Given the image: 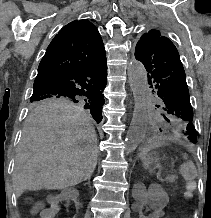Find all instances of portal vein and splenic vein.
Wrapping results in <instances>:
<instances>
[{
	"label": "portal vein and splenic vein",
	"mask_w": 211,
	"mask_h": 218,
	"mask_svg": "<svg viewBox=\"0 0 211 218\" xmlns=\"http://www.w3.org/2000/svg\"><path fill=\"white\" fill-rule=\"evenodd\" d=\"M174 173H175V174H178V171H175Z\"/></svg>",
	"instance_id": "portal-vein-and-splenic-vein-1"
}]
</instances>
